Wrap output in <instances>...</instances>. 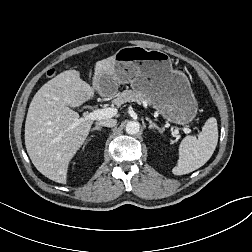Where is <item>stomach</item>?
Masks as SVG:
<instances>
[{"label":"stomach","instance_id":"obj_1","mask_svg":"<svg viewBox=\"0 0 252 252\" xmlns=\"http://www.w3.org/2000/svg\"><path fill=\"white\" fill-rule=\"evenodd\" d=\"M101 95L116 94L119 84H130L171 123L185 125L197 115L198 103L188 78L172 66V59L160 50L126 46L114 54L113 73H102Z\"/></svg>","mask_w":252,"mask_h":252}]
</instances>
